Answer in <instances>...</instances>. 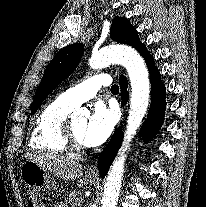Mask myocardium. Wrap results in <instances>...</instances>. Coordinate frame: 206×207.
I'll use <instances>...</instances> for the list:
<instances>
[{
	"mask_svg": "<svg viewBox=\"0 0 206 207\" xmlns=\"http://www.w3.org/2000/svg\"><path fill=\"white\" fill-rule=\"evenodd\" d=\"M61 137L68 151L80 152L85 149V145L76 138L72 129V121L70 119H67L64 123Z\"/></svg>",
	"mask_w": 206,
	"mask_h": 207,
	"instance_id": "obj_1",
	"label": "myocardium"
}]
</instances>
